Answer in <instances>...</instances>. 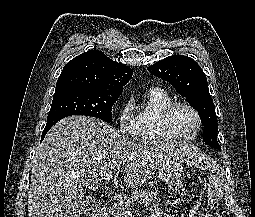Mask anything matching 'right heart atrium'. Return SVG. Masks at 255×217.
I'll use <instances>...</instances> for the list:
<instances>
[{
  "mask_svg": "<svg viewBox=\"0 0 255 217\" xmlns=\"http://www.w3.org/2000/svg\"><path fill=\"white\" fill-rule=\"evenodd\" d=\"M118 128L119 131L128 137L135 136L136 122L133 113V105L131 101L125 102L118 112Z\"/></svg>",
  "mask_w": 255,
  "mask_h": 217,
  "instance_id": "right-heart-atrium-1",
  "label": "right heart atrium"
}]
</instances>
